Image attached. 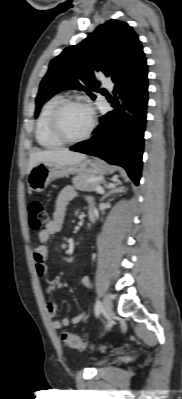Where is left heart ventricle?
<instances>
[{"mask_svg":"<svg viewBox=\"0 0 182 399\" xmlns=\"http://www.w3.org/2000/svg\"><path fill=\"white\" fill-rule=\"evenodd\" d=\"M89 123V113L82 106H69L61 115V127L70 138H77L83 135L88 129Z\"/></svg>","mask_w":182,"mask_h":399,"instance_id":"b2bd125f","label":"left heart ventricle"}]
</instances>
